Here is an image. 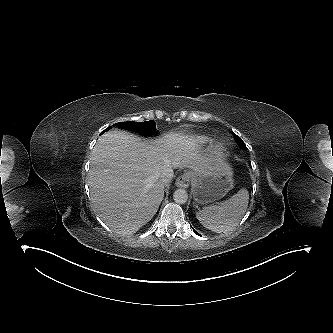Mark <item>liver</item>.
Instances as JSON below:
<instances>
[{"instance_id":"6515ba94","label":"liver","mask_w":333,"mask_h":333,"mask_svg":"<svg viewBox=\"0 0 333 333\" xmlns=\"http://www.w3.org/2000/svg\"><path fill=\"white\" fill-rule=\"evenodd\" d=\"M88 185L100 219L123 235L137 232L156 214L164 197V167L185 166L200 174L213 163L202 156L194 138L169 133L150 141L125 131H108L91 153ZM214 165V166H213Z\"/></svg>"}]
</instances>
